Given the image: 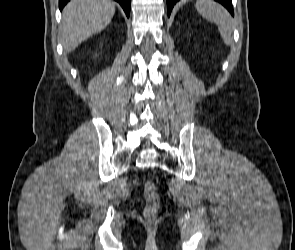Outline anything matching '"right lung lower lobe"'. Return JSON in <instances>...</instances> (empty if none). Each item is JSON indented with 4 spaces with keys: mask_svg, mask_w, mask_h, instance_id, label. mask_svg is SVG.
<instances>
[{
    "mask_svg": "<svg viewBox=\"0 0 295 250\" xmlns=\"http://www.w3.org/2000/svg\"><path fill=\"white\" fill-rule=\"evenodd\" d=\"M70 0H59V9L62 10L63 7L69 2ZM118 3H120V5L122 6V8L124 9L127 17H129L130 15V7H131V0H115Z\"/></svg>",
    "mask_w": 295,
    "mask_h": 250,
    "instance_id": "obj_1",
    "label": "right lung lower lobe"
}]
</instances>
